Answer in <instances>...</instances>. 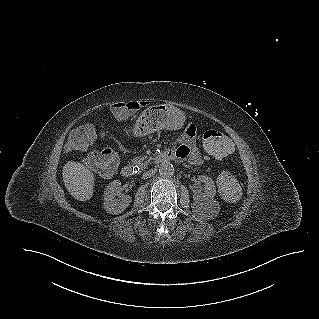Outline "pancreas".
I'll return each mask as SVG.
<instances>
[{
    "mask_svg": "<svg viewBox=\"0 0 319 319\" xmlns=\"http://www.w3.org/2000/svg\"><path fill=\"white\" fill-rule=\"evenodd\" d=\"M151 160H152L151 157L143 156V157H135L132 162L140 166L141 168H146Z\"/></svg>",
    "mask_w": 319,
    "mask_h": 319,
    "instance_id": "pancreas-1",
    "label": "pancreas"
}]
</instances>
